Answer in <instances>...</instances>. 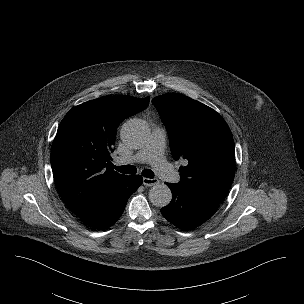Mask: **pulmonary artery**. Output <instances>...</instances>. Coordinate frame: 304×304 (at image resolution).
Returning <instances> with one entry per match:
<instances>
[{
    "mask_svg": "<svg viewBox=\"0 0 304 304\" xmlns=\"http://www.w3.org/2000/svg\"><path fill=\"white\" fill-rule=\"evenodd\" d=\"M166 139V131L162 128L156 127L146 143V145L128 158H120L117 160L119 164L122 163H150L158 176L168 182H179V173L165 160L164 146Z\"/></svg>",
    "mask_w": 304,
    "mask_h": 304,
    "instance_id": "e3ab8cb5",
    "label": "pulmonary artery"
}]
</instances>
